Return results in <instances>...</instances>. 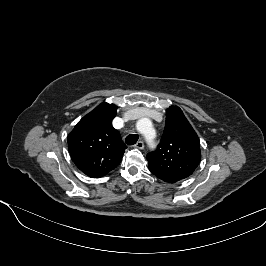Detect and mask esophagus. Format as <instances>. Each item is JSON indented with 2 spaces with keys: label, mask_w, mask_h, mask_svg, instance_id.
I'll list each match as a JSON object with an SVG mask.
<instances>
[{
  "label": "esophagus",
  "mask_w": 266,
  "mask_h": 266,
  "mask_svg": "<svg viewBox=\"0 0 266 266\" xmlns=\"http://www.w3.org/2000/svg\"><path fill=\"white\" fill-rule=\"evenodd\" d=\"M135 148L137 149H143L144 148V143L143 141H138L135 145H134Z\"/></svg>",
  "instance_id": "1"
}]
</instances>
